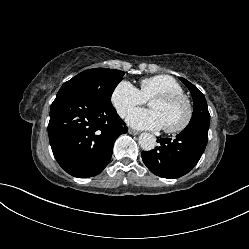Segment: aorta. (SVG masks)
Wrapping results in <instances>:
<instances>
[{
    "instance_id": "762f6f07",
    "label": "aorta",
    "mask_w": 249,
    "mask_h": 249,
    "mask_svg": "<svg viewBox=\"0 0 249 249\" xmlns=\"http://www.w3.org/2000/svg\"><path fill=\"white\" fill-rule=\"evenodd\" d=\"M138 142L143 150L150 151L156 146V137L150 133H142Z\"/></svg>"
}]
</instances>
